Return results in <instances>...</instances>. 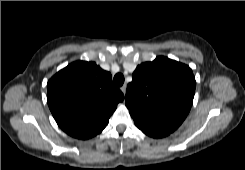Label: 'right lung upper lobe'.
<instances>
[{
    "label": "right lung upper lobe",
    "instance_id": "obj_1",
    "mask_svg": "<svg viewBox=\"0 0 245 170\" xmlns=\"http://www.w3.org/2000/svg\"><path fill=\"white\" fill-rule=\"evenodd\" d=\"M47 102L59 127L78 139L99 134L124 99L112 76L95 62L76 61L47 83Z\"/></svg>",
    "mask_w": 245,
    "mask_h": 170
}]
</instances>
